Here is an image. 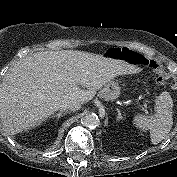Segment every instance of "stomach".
<instances>
[{"label": "stomach", "mask_w": 177, "mask_h": 177, "mask_svg": "<svg viewBox=\"0 0 177 177\" xmlns=\"http://www.w3.org/2000/svg\"><path fill=\"white\" fill-rule=\"evenodd\" d=\"M108 58H119L126 62L130 67L139 69L141 66L145 65L146 58L139 52L130 50L128 48H112L107 52ZM100 97L107 102H113L120 96V86L117 80L112 79L104 85V87L99 92Z\"/></svg>", "instance_id": "obj_1"}]
</instances>
